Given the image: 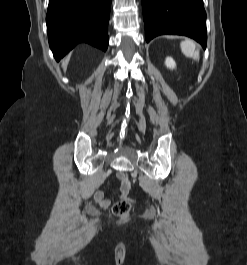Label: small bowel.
<instances>
[{
	"label": "small bowel",
	"mask_w": 247,
	"mask_h": 265,
	"mask_svg": "<svg viewBox=\"0 0 247 265\" xmlns=\"http://www.w3.org/2000/svg\"><path fill=\"white\" fill-rule=\"evenodd\" d=\"M127 193L128 191H121V198L127 199ZM95 201L102 207V208H108L110 205V200L106 199L104 196V193L102 191H96L94 194Z\"/></svg>",
	"instance_id": "small-bowel-1"
}]
</instances>
